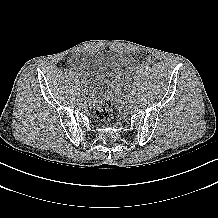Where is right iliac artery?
<instances>
[{"label":"right iliac artery","mask_w":218,"mask_h":218,"mask_svg":"<svg viewBox=\"0 0 218 218\" xmlns=\"http://www.w3.org/2000/svg\"><path fill=\"white\" fill-rule=\"evenodd\" d=\"M79 83L82 84V86H85V88L87 87V84L84 83V80H83V79H80V80H79Z\"/></svg>","instance_id":"1"}]
</instances>
